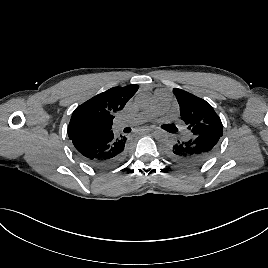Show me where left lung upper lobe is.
Here are the masks:
<instances>
[{
  "mask_svg": "<svg viewBox=\"0 0 268 268\" xmlns=\"http://www.w3.org/2000/svg\"><path fill=\"white\" fill-rule=\"evenodd\" d=\"M173 93L180 106L181 119L188 126L192 136H222V122L208 102L182 89L174 88Z\"/></svg>",
  "mask_w": 268,
  "mask_h": 268,
  "instance_id": "obj_1",
  "label": "left lung upper lobe"
}]
</instances>
